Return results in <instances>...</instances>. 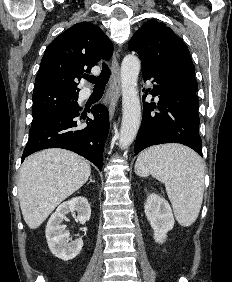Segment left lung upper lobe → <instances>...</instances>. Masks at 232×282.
Returning <instances> with one entry per match:
<instances>
[{"label": "left lung upper lobe", "mask_w": 232, "mask_h": 282, "mask_svg": "<svg viewBox=\"0 0 232 282\" xmlns=\"http://www.w3.org/2000/svg\"><path fill=\"white\" fill-rule=\"evenodd\" d=\"M138 53L142 71L195 77V68L185 43L164 23L145 22L128 44Z\"/></svg>", "instance_id": "left-lung-upper-lobe-1"}]
</instances>
